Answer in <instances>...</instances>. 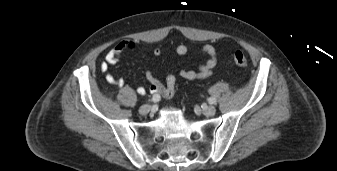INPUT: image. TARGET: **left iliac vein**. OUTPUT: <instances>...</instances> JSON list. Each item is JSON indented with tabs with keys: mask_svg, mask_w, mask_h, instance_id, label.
<instances>
[{
	"mask_svg": "<svg viewBox=\"0 0 337 171\" xmlns=\"http://www.w3.org/2000/svg\"><path fill=\"white\" fill-rule=\"evenodd\" d=\"M202 113L206 116H213L216 113L214 106H205L202 109Z\"/></svg>",
	"mask_w": 337,
	"mask_h": 171,
	"instance_id": "1",
	"label": "left iliac vein"
}]
</instances>
